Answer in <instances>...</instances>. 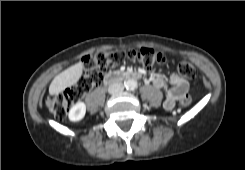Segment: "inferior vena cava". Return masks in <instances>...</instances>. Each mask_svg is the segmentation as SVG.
<instances>
[{
    "mask_svg": "<svg viewBox=\"0 0 245 170\" xmlns=\"http://www.w3.org/2000/svg\"><path fill=\"white\" fill-rule=\"evenodd\" d=\"M123 89H124V85L121 82H114L111 85H109L108 91L111 94H116L122 92Z\"/></svg>",
    "mask_w": 245,
    "mask_h": 170,
    "instance_id": "602c4592",
    "label": "inferior vena cava"
}]
</instances>
